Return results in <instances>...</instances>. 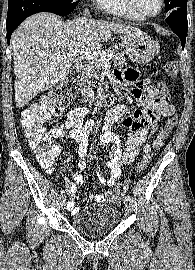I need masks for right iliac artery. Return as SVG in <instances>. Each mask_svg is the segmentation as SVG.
<instances>
[{
	"label": "right iliac artery",
	"instance_id": "1",
	"mask_svg": "<svg viewBox=\"0 0 195 270\" xmlns=\"http://www.w3.org/2000/svg\"><path fill=\"white\" fill-rule=\"evenodd\" d=\"M64 196V191L60 192V198H62Z\"/></svg>",
	"mask_w": 195,
	"mask_h": 270
}]
</instances>
